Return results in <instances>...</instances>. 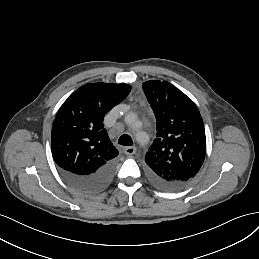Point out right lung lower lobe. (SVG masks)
Returning <instances> with one entry per match:
<instances>
[{
    "label": "right lung lower lobe",
    "instance_id": "98d812e1",
    "mask_svg": "<svg viewBox=\"0 0 259 259\" xmlns=\"http://www.w3.org/2000/svg\"><path fill=\"white\" fill-rule=\"evenodd\" d=\"M115 165L116 161L113 159L90 174H76L61 168L59 170L64 179L76 189L84 192H95L110 182Z\"/></svg>",
    "mask_w": 259,
    "mask_h": 259
}]
</instances>
